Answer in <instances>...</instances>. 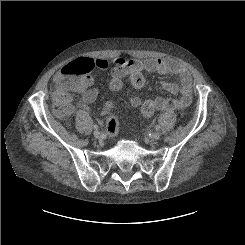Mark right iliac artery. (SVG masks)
I'll use <instances>...</instances> for the list:
<instances>
[{"label": "right iliac artery", "mask_w": 245, "mask_h": 245, "mask_svg": "<svg viewBox=\"0 0 245 245\" xmlns=\"http://www.w3.org/2000/svg\"><path fill=\"white\" fill-rule=\"evenodd\" d=\"M94 129L98 130V126L96 124L94 125Z\"/></svg>", "instance_id": "obj_1"}]
</instances>
